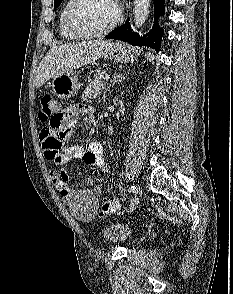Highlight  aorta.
I'll return each instance as SVG.
<instances>
[{
	"label": "aorta",
	"instance_id": "obj_1",
	"mask_svg": "<svg viewBox=\"0 0 233 294\" xmlns=\"http://www.w3.org/2000/svg\"><path fill=\"white\" fill-rule=\"evenodd\" d=\"M151 0H134V27L140 28L144 25L150 8Z\"/></svg>",
	"mask_w": 233,
	"mask_h": 294
}]
</instances>
